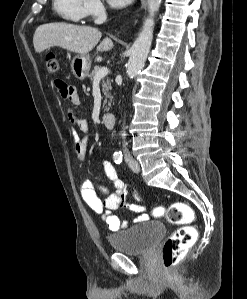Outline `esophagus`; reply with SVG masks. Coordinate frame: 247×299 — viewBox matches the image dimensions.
<instances>
[{
    "instance_id": "esophagus-1",
    "label": "esophagus",
    "mask_w": 247,
    "mask_h": 299,
    "mask_svg": "<svg viewBox=\"0 0 247 299\" xmlns=\"http://www.w3.org/2000/svg\"><path fill=\"white\" fill-rule=\"evenodd\" d=\"M146 1L147 0H141V2H142L143 5H146Z\"/></svg>"
}]
</instances>
